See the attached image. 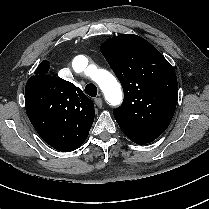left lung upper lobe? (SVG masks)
Returning a JSON list of instances; mask_svg holds the SVG:
<instances>
[{"mask_svg":"<svg viewBox=\"0 0 209 209\" xmlns=\"http://www.w3.org/2000/svg\"><path fill=\"white\" fill-rule=\"evenodd\" d=\"M101 52L123 87V103L113 110L122 132L138 145L154 141L175 112L178 83L173 67L153 45L133 34L108 39Z\"/></svg>","mask_w":209,"mask_h":209,"instance_id":"left-lung-upper-lobe-1","label":"left lung upper lobe"}]
</instances>
